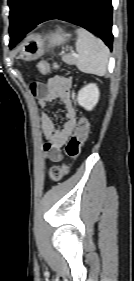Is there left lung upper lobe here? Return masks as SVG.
Segmentation results:
<instances>
[{
	"instance_id": "obj_1",
	"label": "left lung upper lobe",
	"mask_w": 134,
	"mask_h": 281,
	"mask_svg": "<svg viewBox=\"0 0 134 281\" xmlns=\"http://www.w3.org/2000/svg\"><path fill=\"white\" fill-rule=\"evenodd\" d=\"M45 1L46 0H8V5L10 7V48L17 43V41H15L17 34L25 35L28 32L33 19Z\"/></svg>"
}]
</instances>
